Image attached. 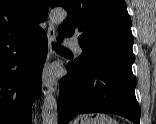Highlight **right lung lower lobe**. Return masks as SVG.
Returning a JSON list of instances; mask_svg holds the SVG:
<instances>
[{"instance_id":"1","label":"right lung lower lobe","mask_w":156,"mask_h":124,"mask_svg":"<svg viewBox=\"0 0 156 124\" xmlns=\"http://www.w3.org/2000/svg\"><path fill=\"white\" fill-rule=\"evenodd\" d=\"M46 56L43 30L28 39L0 45V124H31V106L41 94Z\"/></svg>"}]
</instances>
